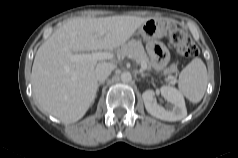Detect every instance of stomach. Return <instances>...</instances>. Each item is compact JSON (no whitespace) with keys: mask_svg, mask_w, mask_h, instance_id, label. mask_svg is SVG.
I'll use <instances>...</instances> for the list:
<instances>
[{"mask_svg":"<svg viewBox=\"0 0 238 158\" xmlns=\"http://www.w3.org/2000/svg\"><path fill=\"white\" fill-rule=\"evenodd\" d=\"M167 34V27L164 22L154 18L148 19L138 28V35L148 41L164 37Z\"/></svg>","mask_w":238,"mask_h":158,"instance_id":"0dacf381","label":"stomach"}]
</instances>
